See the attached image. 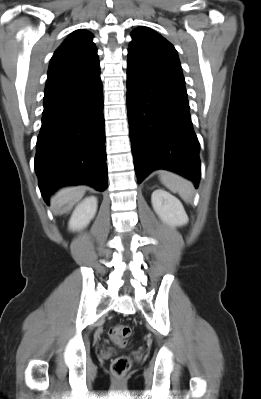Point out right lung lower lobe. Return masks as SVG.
<instances>
[{"mask_svg": "<svg viewBox=\"0 0 261 399\" xmlns=\"http://www.w3.org/2000/svg\"><path fill=\"white\" fill-rule=\"evenodd\" d=\"M35 171L47 204L49 195L60 186L88 184L98 191L107 188L100 73L45 93Z\"/></svg>", "mask_w": 261, "mask_h": 399, "instance_id": "98d812e1", "label": "right lung lower lobe"}]
</instances>
